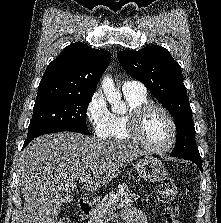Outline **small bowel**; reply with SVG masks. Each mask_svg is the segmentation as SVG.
<instances>
[{
	"label": "small bowel",
	"mask_w": 221,
	"mask_h": 223,
	"mask_svg": "<svg viewBox=\"0 0 221 223\" xmlns=\"http://www.w3.org/2000/svg\"><path fill=\"white\" fill-rule=\"evenodd\" d=\"M122 216L127 223H149L147 216L137 209H128Z\"/></svg>",
	"instance_id": "small-bowel-1"
}]
</instances>
